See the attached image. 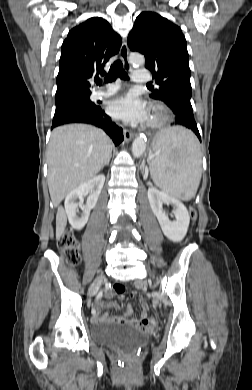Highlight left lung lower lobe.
I'll return each instance as SVG.
<instances>
[{"label": "left lung lower lobe", "instance_id": "1", "mask_svg": "<svg viewBox=\"0 0 252 390\" xmlns=\"http://www.w3.org/2000/svg\"><path fill=\"white\" fill-rule=\"evenodd\" d=\"M165 103L175 114L174 124L182 125L191 129L201 141L197 124L194 119L190 98L174 95L171 96L169 101Z\"/></svg>", "mask_w": 252, "mask_h": 390}]
</instances>
